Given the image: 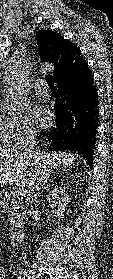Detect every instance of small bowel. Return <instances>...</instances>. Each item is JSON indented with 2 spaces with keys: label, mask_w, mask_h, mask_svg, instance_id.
<instances>
[{
  "label": "small bowel",
  "mask_w": 113,
  "mask_h": 279,
  "mask_svg": "<svg viewBox=\"0 0 113 279\" xmlns=\"http://www.w3.org/2000/svg\"><path fill=\"white\" fill-rule=\"evenodd\" d=\"M1 270V276L0 279H6V274H5V270L3 268L0 269Z\"/></svg>",
  "instance_id": "obj_1"
}]
</instances>
